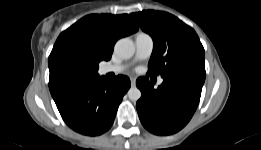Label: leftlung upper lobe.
<instances>
[{"label": "left lung upper lobe", "mask_w": 261, "mask_h": 150, "mask_svg": "<svg viewBox=\"0 0 261 150\" xmlns=\"http://www.w3.org/2000/svg\"><path fill=\"white\" fill-rule=\"evenodd\" d=\"M153 39L147 75H172L181 70L205 74V51L196 32L175 16L147 10L130 14Z\"/></svg>", "instance_id": "obj_1"}]
</instances>
